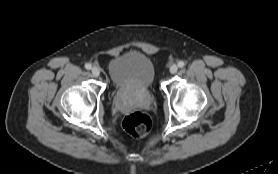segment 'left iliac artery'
I'll return each instance as SVG.
<instances>
[{
  "label": "left iliac artery",
  "mask_w": 278,
  "mask_h": 174,
  "mask_svg": "<svg viewBox=\"0 0 278 174\" xmlns=\"http://www.w3.org/2000/svg\"><path fill=\"white\" fill-rule=\"evenodd\" d=\"M178 66H179L180 68H182V67L185 66V63H184L183 61H179V62H178Z\"/></svg>",
  "instance_id": "1"
}]
</instances>
